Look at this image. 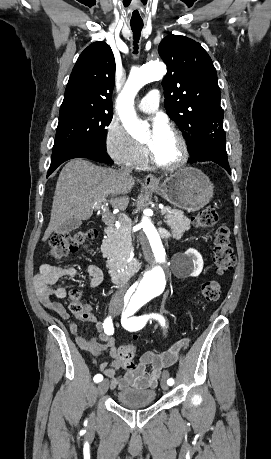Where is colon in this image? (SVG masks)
Segmentation results:
<instances>
[{"label":"colon","mask_w":271,"mask_h":459,"mask_svg":"<svg viewBox=\"0 0 271 459\" xmlns=\"http://www.w3.org/2000/svg\"><path fill=\"white\" fill-rule=\"evenodd\" d=\"M217 211L208 207L200 211L194 218L197 227L208 228L218 225L213 236V263L217 274H228L236 263V257L231 247L229 229L219 225ZM96 237L95 230H76L64 234L54 235L49 242V256L54 260H61L78 251ZM205 300L213 302L218 300L221 294V285L217 280H211L203 284L201 289ZM80 293L77 290L71 292L69 310L72 314L83 317L86 315L85 306L79 301ZM119 357L127 368L134 367L136 348L133 344H125L119 348Z\"/></svg>","instance_id":"colon-1"}]
</instances>
